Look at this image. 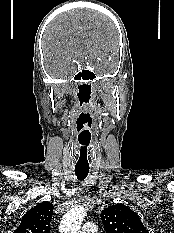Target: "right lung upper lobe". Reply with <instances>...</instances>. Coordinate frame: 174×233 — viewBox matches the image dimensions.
I'll return each mask as SVG.
<instances>
[{"label":"right lung upper lobe","mask_w":174,"mask_h":233,"mask_svg":"<svg viewBox=\"0 0 174 233\" xmlns=\"http://www.w3.org/2000/svg\"><path fill=\"white\" fill-rule=\"evenodd\" d=\"M54 206L48 201L38 204L23 216L13 233H50Z\"/></svg>","instance_id":"obj_1"}]
</instances>
